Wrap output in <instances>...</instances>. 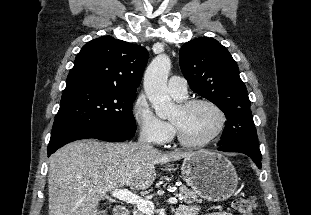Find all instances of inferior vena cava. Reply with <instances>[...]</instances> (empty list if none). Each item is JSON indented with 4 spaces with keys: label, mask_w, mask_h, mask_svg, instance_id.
Returning <instances> with one entry per match:
<instances>
[{
    "label": "inferior vena cava",
    "mask_w": 311,
    "mask_h": 215,
    "mask_svg": "<svg viewBox=\"0 0 311 215\" xmlns=\"http://www.w3.org/2000/svg\"><path fill=\"white\" fill-rule=\"evenodd\" d=\"M138 144L143 148H151V137L149 132L146 129H142L139 138Z\"/></svg>",
    "instance_id": "602c4592"
}]
</instances>
